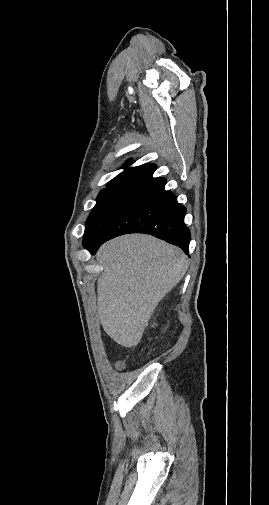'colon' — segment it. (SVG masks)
I'll return each mask as SVG.
<instances>
[{"mask_svg": "<svg viewBox=\"0 0 269 505\" xmlns=\"http://www.w3.org/2000/svg\"><path fill=\"white\" fill-rule=\"evenodd\" d=\"M124 367H125L124 362H118V364H117L118 369H123Z\"/></svg>", "mask_w": 269, "mask_h": 505, "instance_id": "obj_1", "label": "colon"}]
</instances>
